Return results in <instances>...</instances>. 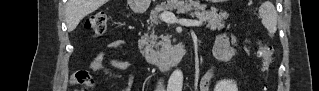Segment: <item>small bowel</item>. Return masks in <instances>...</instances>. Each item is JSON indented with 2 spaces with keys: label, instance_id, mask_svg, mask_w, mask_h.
Listing matches in <instances>:
<instances>
[{
  "label": "small bowel",
  "instance_id": "c3829d8e",
  "mask_svg": "<svg viewBox=\"0 0 319 91\" xmlns=\"http://www.w3.org/2000/svg\"><path fill=\"white\" fill-rule=\"evenodd\" d=\"M238 40L236 36L230 32H222L216 36L214 46V56L222 63L231 61L237 53ZM109 49L123 50L126 45L122 40L114 39L107 43ZM132 62L129 60L116 59L109 56L105 52H96L89 63L91 70L111 76L117 80L123 87L124 91H130L132 85V77L126 79L117 70H132ZM216 69L210 70L200 81V91H210L212 83L216 77ZM88 74L85 72H77L75 75L76 81L79 80L81 75Z\"/></svg>",
  "mask_w": 319,
  "mask_h": 91
}]
</instances>
